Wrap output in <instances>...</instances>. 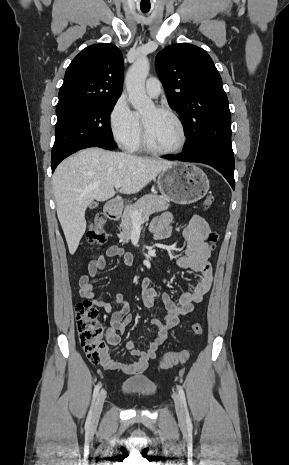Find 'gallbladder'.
I'll list each match as a JSON object with an SVG mask.
<instances>
[{"instance_id":"1","label":"gallbladder","mask_w":289,"mask_h":465,"mask_svg":"<svg viewBox=\"0 0 289 465\" xmlns=\"http://www.w3.org/2000/svg\"><path fill=\"white\" fill-rule=\"evenodd\" d=\"M96 206H97V204H96L95 202H92V203L90 204V208H94V207H96Z\"/></svg>"}]
</instances>
